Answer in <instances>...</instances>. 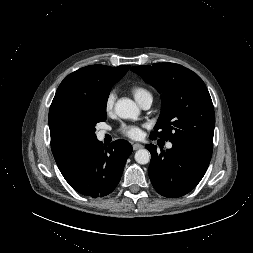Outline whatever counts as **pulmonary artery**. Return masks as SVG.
<instances>
[{
	"instance_id": "pulmonary-artery-1",
	"label": "pulmonary artery",
	"mask_w": 253,
	"mask_h": 253,
	"mask_svg": "<svg viewBox=\"0 0 253 253\" xmlns=\"http://www.w3.org/2000/svg\"><path fill=\"white\" fill-rule=\"evenodd\" d=\"M151 104H152V99H151V98H148V99L144 100L140 105H141V107H142L143 109H148V108H150ZM105 133H106L105 131H100V132L98 133V136H99L100 138H103L104 135H105ZM167 148H168V149L172 148V143H167Z\"/></svg>"
}]
</instances>
